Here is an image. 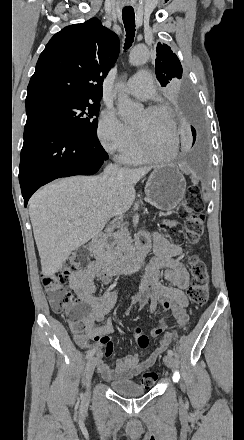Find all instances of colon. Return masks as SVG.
I'll use <instances>...</instances> for the list:
<instances>
[{
    "label": "colon",
    "instance_id": "colon-1",
    "mask_svg": "<svg viewBox=\"0 0 244 440\" xmlns=\"http://www.w3.org/2000/svg\"><path fill=\"white\" fill-rule=\"evenodd\" d=\"M204 204L196 189L188 191V198L185 207L180 209L178 214L185 221L186 238L191 245H195L203 234L204 230ZM161 230H171L173 239L178 242L183 240L182 223L180 221H161ZM89 248H73L70 254L74 257L70 261L60 265L54 273L42 274L41 284L48 295L53 311L65 317L72 329L77 334L87 330L90 319L86 314H91V305H81L75 302L73 293L65 286L66 277L74 273L79 267H87L90 256ZM188 267L192 277L191 286L188 290L190 300L196 306H203L208 301L210 276L206 264L196 254L188 258ZM138 331L143 327L138 326ZM138 346L141 349L149 347V338L146 334L138 332ZM157 380V374L153 371H145L141 383L145 386H152Z\"/></svg>",
    "mask_w": 244,
    "mask_h": 440
}]
</instances>
